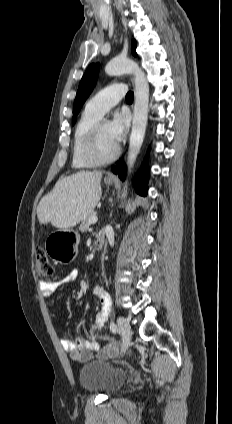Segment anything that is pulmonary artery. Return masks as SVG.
<instances>
[{
    "mask_svg": "<svg viewBox=\"0 0 232 424\" xmlns=\"http://www.w3.org/2000/svg\"><path fill=\"white\" fill-rule=\"evenodd\" d=\"M126 93L127 87L124 84L107 86L87 102L86 108L102 116L117 105Z\"/></svg>",
    "mask_w": 232,
    "mask_h": 424,
    "instance_id": "obj_1",
    "label": "pulmonary artery"
}]
</instances>
